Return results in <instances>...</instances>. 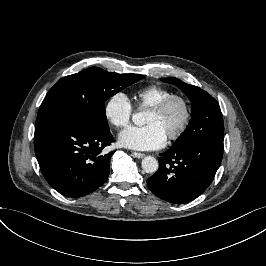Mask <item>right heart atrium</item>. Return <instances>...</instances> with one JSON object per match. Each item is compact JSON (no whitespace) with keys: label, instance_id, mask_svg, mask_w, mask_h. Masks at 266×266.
<instances>
[{"label":"right heart atrium","instance_id":"1","mask_svg":"<svg viewBox=\"0 0 266 266\" xmlns=\"http://www.w3.org/2000/svg\"><path fill=\"white\" fill-rule=\"evenodd\" d=\"M105 119L115 127H126L134 114V106L123 92L110 95L104 104Z\"/></svg>","mask_w":266,"mask_h":266}]
</instances>
